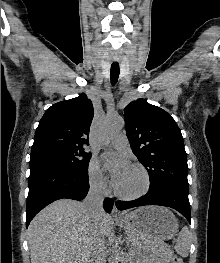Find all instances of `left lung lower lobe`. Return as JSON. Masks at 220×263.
<instances>
[{
    "instance_id": "0a47b994",
    "label": "left lung lower lobe",
    "mask_w": 220,
    "mask_h": 263,
    "mask_svg": "<svg viewBox=\"0 0 220 263\" xmlns=\"http://www.w3.org/2000/svg\"><path fill=\"white\" fill-rule=\"evenodd\" d=\"M144 205H160L171 207L180 212L191 223L188 192L172 186H159L149 189L147 194L133 201H117L119 210Z\"/></svg>"
}]
</instances>
